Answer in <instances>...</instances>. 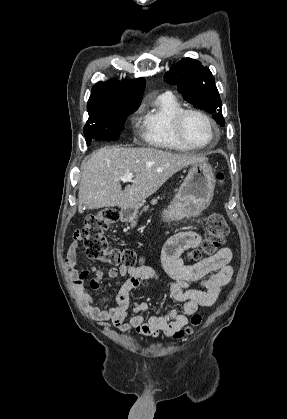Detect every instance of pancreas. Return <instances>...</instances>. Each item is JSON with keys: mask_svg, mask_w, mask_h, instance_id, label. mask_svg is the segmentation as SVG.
I'll return each mask as SVG.
<instances>
[{"mask_svg": "<svg viewBox=\"0 0 287 419\" xmlns=\"http://www.w3.org/2000/svg\"><path fill=\"white\" fill-rule=\"evenodd\" d=\"M151 204H153V205L157 204V199H153L151 201ZM148 208H149V206L147 205V206L144 207V210H147Z\"/></svg>", "mask_w": 287, "mask_h": 419, "instance_id": "cf45deb5", "label": "pancreas"}]
</instances>
